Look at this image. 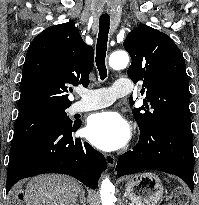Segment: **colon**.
I'll return each mask as SVG.
<instances>
[{"mask_svg": "<svg viewBox=\"0 0 199 205\" xmlns=\"http://www.w3.org/2000/svg\"><path fill=\"white\" fill-rule=\"evenodd\" d=\"M186 201V192L183 188H178L172 196L162 198L159 205H182Z\"/></svg>", "mask_w": 199, "mask_h": 205, "instance_id": "colon-1", "label": "colon"}]
</instances>
